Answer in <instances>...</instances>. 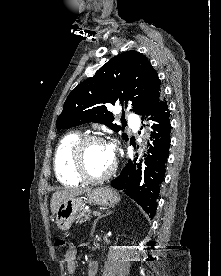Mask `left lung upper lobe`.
<instances>
[{"mask_svg": "<svg viewBox=\"0 0 221 276\" xmlns=\"http://www.w3.org/2000/svg\"><path fill=\"white\" fill-rule=\"evenodd\" d=\"M160 85L161 81L146 56L134 50L123 52L69 94L57 118L56 128L95 122L120 131L121 126L114 123L113 114L107 108L115 104L126 107L127 102L132 101L133 111L144 116L162 98ZM122 136L128 140L125 133Z\"/></svg>", "mask_w": 221, "mask_h": 276, "instance_id": "obj_1", "label": "left lung upper lobe"}]
</instances>
